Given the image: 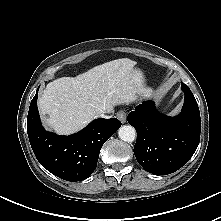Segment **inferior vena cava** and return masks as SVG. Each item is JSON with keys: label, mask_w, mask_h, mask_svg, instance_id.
<instances>
[{"label": "inferior vena cava", "mask_w": 221, "mask_h": 221, "mask_svg": "<svg viewBox=\"0 0 221 221\" xmlns=\"http://www.w3.org/2000/svg\"><path fill=\"white\" fill-rule=\"evenodd\" d=\"M98 117H101V118H109L110 116H107V115H105L104 113H102V114L98 115Z\"/></svg>", "instance_id": "obj_1"}]
</instances>
